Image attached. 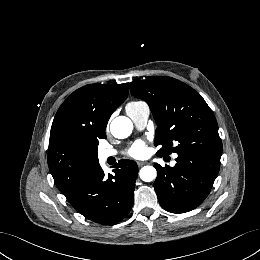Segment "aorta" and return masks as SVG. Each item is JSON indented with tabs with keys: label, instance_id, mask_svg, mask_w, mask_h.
<instances>
[{
	"label": "aorta",
	"instance_id": "762f6f07",
	"mask_svg": "<svg viewBox=\"0 0 260 260\" xmlns=\"http://www.w3.org/2000/svg\"><path fill=\"white\" fill-rule=\"evenodd\" d=\"M133 130L132 121L125 116H119L113 119L110 125V131L115 138L124 139L130 136ZM141 180L151 182L156 179L157 171L153 166H144L139 172Z\"/></svg>",
	"mask_w": 260,
	"mask_h": 260
}]
</instances>
